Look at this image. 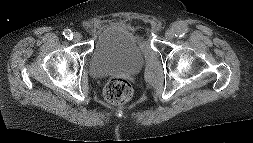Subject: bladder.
Instances as JSON below:
<instances>
[{"label":"bladder","mask_w":253,"mask_h":143,"mask_svg":"<svg viewBox=\"0 0 253 143\" xmlns=\"http://www.w3.org/2000/svg\"><path fill=\"white\" fill-rule=\"evenodd\" d=\"M146 44L142 34L119 19L103 23L96 37L89 70L94 77L114 73L133 75L146 60Z\"/></svg>","instance_id":"31cf9c89"}]
</instances>
